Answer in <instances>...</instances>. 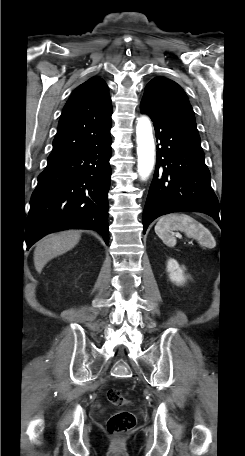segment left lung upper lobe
<instances>
[{
    "label": "left lung upper lobe",
    "mask_w": 245,
    "mask_h": 456,
    "mask_svg": "<svg viewBox=\"0 0 245 456\" xmlns=\"http://www.w3.org/2000/svg\"><path fill=\"white\" fill-rule=\"evenodd\" d=\"M141 105L197 131L194 112L185 92L170 79L162 76L152 79L145 87Z\"/></svg>",
    "instance_id": "5c2ea615"
}]
</instances>
